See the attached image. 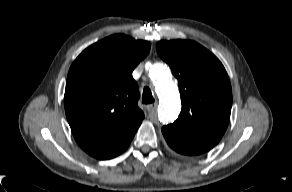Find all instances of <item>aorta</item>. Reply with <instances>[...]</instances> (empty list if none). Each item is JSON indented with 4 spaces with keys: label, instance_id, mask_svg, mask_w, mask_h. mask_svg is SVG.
I'll list each match as a JSON object with an SVG mask.
<instances>
[{
    "label": "aorta",
    "instance_id": "aorta-1",
    "mask_svg": "<svg viewBox=\"0 0 292 192\" xmlns=\"http://www.w3.org/2000/svg\"><path fill=\"white\" fill-rule=\"evenodd\" d=\"M171 76L170 69L162 63H154L149 70V77L156 86L161 100L158 117L163 123L173 122L178 117L181 107L179 92Z\"/></svg>",
    "mask_w": 292,
    "mask_h": 192
}]
</instances>
